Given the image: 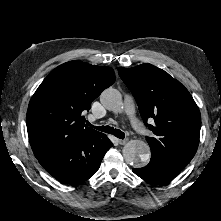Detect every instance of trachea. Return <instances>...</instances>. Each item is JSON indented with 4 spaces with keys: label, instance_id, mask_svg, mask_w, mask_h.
<instances>
[{
    "label": "trachea",
    "instance_id": "obj_1",
    "mask_svg": "<svg viewBox=\"0 0 221 221\" xmlns=\"http://www.w3.org/2000/svg\"><path fill=\"white\" fill-rule=\"evenodd\" d=\"M90 126H91V124H90ZM94 128H96L99 131L108 133V134H113L114 136H116L117 138H120V139L125 138V134L121 130L115 129L110 126H100V127H94Z\"/></svg>",
    "mask_w": 221,
    "mask_h": 221
}]
</instances>
